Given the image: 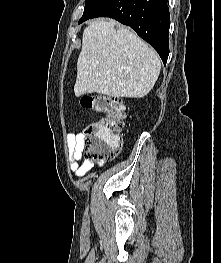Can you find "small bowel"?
Masks as SVG:
<instances>
[{
	"mask_svg": "<svg viewBox=\"0 0 221 263\" xmlns=\"http://www.w3.org/2000/svg\"><path fill=\"white\" fill-rule=\"evenodd\" d=\"M84 139L85 135L83 133L69 134L67 137V147L73 158L71 169L77 177L86 175V173L95 165V163H97L99 166H105L107 164V162L104 160H98L95 162L83 159Z\"/></svg>",
	"mask_w": 221,
	"mask_h": 263,
	"instance_id": "1",
	"label": "small bowel"
}]
</instances>
